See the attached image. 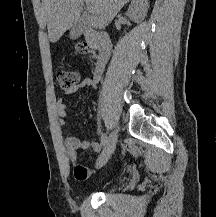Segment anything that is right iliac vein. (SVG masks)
<instances>
[{
  "label": "right iliac vein",
  "mask_w": 216,
  "mask_h": 217,
  "mask_svg": "<svg viewBox=\"0 0 216 217\" xmlns=\"http://www.w3.org/2000/svg\"><path fill=\"white\" fill-rule=\"evenodd\" d=\"M117 138L118 135H117V131L115 130L109 136L107 143L96 162L97 168H101L102 166H104L107 163V161L110 159L111 155L115 150Z\"/></svg>",
  "instance_id": "1"
}]
</instances>
